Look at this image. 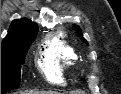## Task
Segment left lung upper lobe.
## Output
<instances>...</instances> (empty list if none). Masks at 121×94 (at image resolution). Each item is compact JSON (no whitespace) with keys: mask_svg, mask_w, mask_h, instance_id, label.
I'll return each instance as SVG.
<instances>
[{"mask_svg":"<svg viewBox=\"0 0 121 94\" xmlns=\"http://www.w3.org/2000/svg\"><path fill=\"white\" fill-rule=\"evenodd\" d=\"M75 29H76L77 33L79 34V36L82 37V33H81L80 28H79L78 26H76ZM82 40H83L85 43H87V41H86L84 38H82Z\"/></svg>","mask_w":121,"mask_h":94,"instance_id":"left-lung-upper-lobe-1","label":"left lung upper lobe"}]
</instances>
